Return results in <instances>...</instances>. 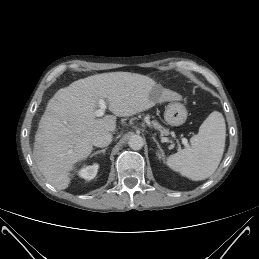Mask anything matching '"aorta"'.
Returning a JSON list of instances; mask_svg holds the SVG:
<instances>
[{"label": "aorta", "mask_w": 259, "mask_h": 259, "mask_svg": "<svg viewBox=\"0 0 259 259\" xmlns=\"http://www.w3.org/2000/svg\"><path fill=\"white\" fill-rule=\"evenodd\" d=\"M128 145L133 150H140L144 145V139L140 135H132L129 138Z\"/></svg>", "instance_id": "obj_1"}]
</instances>
